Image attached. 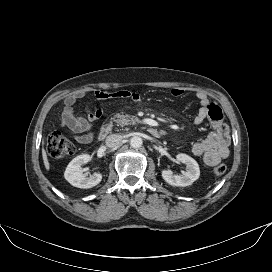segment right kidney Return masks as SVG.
<instances>
[{
  "label": "right kidney",
  "instance_id": "obj_1",
  "mask_svg": "<svg viewBox=\"0 0 272 272\" xmlns=\"http://www.w3.org/2000/svg\"><path fill=\"white\" fill-rule=\"evenodd\" d=\"M90 160L91 156L88 154H82L75 157L65 170V179L71 185L83 189L92 188L99 184L102 180V174L94 173L87 177L80 169L81 165L88 163Z\"/></svg>",
  "mask_w": 272,
  "mask_h": 272
}]
</instances>
